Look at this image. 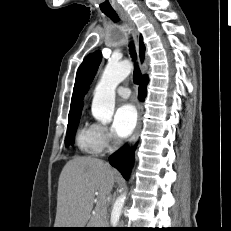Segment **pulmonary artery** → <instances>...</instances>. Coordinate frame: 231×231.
<instances>
[{
	"label": "pulmonary artery",
	"instance_id": "obj_1",
	"mask_svg": "<svg viewBox=\"0 0 231 231\" xmlns=\"http://www.w3.org/2000/svg\"><path fill=\"white\" fill-rule=\"evenodd\" d=\"M117 94L123 98H128L131 95V91L129 88L125 87V86H119L117 88Z\"/></svg>",
	"mask_w": 231,
	"mask_h": 231
}]
</instances>
